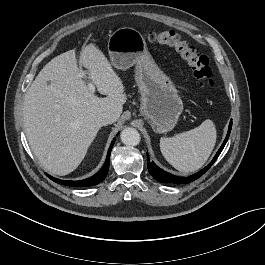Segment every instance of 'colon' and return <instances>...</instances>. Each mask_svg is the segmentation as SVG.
I'll return each instance as SVG.
<instances>
[{"label":"colon","mask_w":265,"mask_h":265,"mask_svg":"<svg viewBox=\"0 0 265 265\" xmlns=\"http://www.w3.org/2000/svg\"><path fill=\"white\" fill-rule=\"evenodd\" d=\"M146 38L150 42L172 47L191 68L199 89L206 90L213 87L208 58L183 41L177 33L174 31H151L146 34Z\"/></svg>","instance_id":"obj_1"}]
</instances>
